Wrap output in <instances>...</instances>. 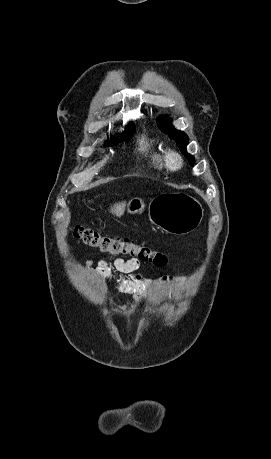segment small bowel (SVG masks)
<instances>
[{
    "label": "small bowel",
    "mask_w": 271,
    "mask_h": 459,
    "mask_svg": "<svg viewBox=\"0 0 271 459\" xmlns=\"http://www.w3.org/2000/svg\"><path fill=\"white\" fill-rule=\"evenodd\" d=\"M88 271L95 273L103 278L105 281L112 284L113 288L124 293L135 294L144 289L147 281L141 280L139 275H135L129 279H116L111 273V268L105 259L98 261L96 264L87 262ZM115 268L124 274H130L138 270L141 266V262L136 258L122 259L117 258L114 261ZM167 280H160L157 284H165Z\"/></svg>",
    "instance_id": "obj_1"
}]
</instances>
